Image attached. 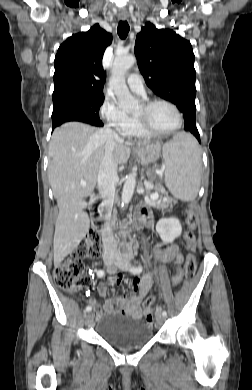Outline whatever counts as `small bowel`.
<instances>
[{"mask_svg": "<svg viewBox=\"0 0 252 390\" xmlns=\"http://www.w3.org/2000/svg\"><path fill=\"white\" fill-rule=\"evenodd\" d=\"M142 216L146 226L151 227L153 222L151 214L147 208H143ZM154 259L163 264L174 263L180 265L183 257L175 245L164 248L161 244L153 248ZM153 272H149L134 281L137 293H128L124 296L106 299L102 305H98L93 297L89 298L90 306L94 308V317L99 320L104 315H125L135 320H141L151 314V305H142L144 297L148 294L152 283ZM182 279L181 271H177L172 277V283L178 284ZM123 280L122 275L117 274L107 282L100 283L98 293L101 297H106L108 288L113 289L115 284Z\"/></svg>", "mask_w": 252, "mask_h": 390, "instance_id": "1", "label": "small bowel"}]
</instances>
